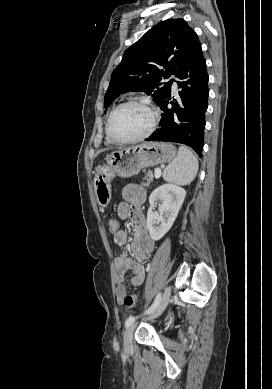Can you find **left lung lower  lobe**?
Wrapping results in <instances>:
<instances>
[{"mask_svg":"<svg viewBox=\"0 0 272 389\" xmlns=\"http://www.w3.org/2000/svg\"><path fill=\"white\" fill-rule=\"evenodd\" d=\"M177 77L179 78L178 87L182 88L179 96L184 108L180 109L178 103L169 102L171 99L169 92L160 105L164 111L160 120L161 128L152 133L147 141L186 144L202 157L205 111L208 106L209 89L206 61L201 47ZM169 104L172 105L171 108L168 107ZM174 113L178 114L180 123H175Z\"/></svg>","mask_w":272,"mask_h":389,"instance_id":"1","label":"left lung lower lobe"}]
</instances>
